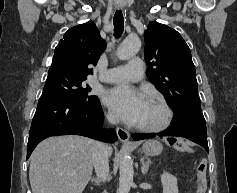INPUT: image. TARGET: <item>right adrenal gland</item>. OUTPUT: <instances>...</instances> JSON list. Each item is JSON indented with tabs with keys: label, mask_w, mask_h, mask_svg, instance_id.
Returning <instances> with one entry per match:
<instances>
[{
	"label": "right adrenal gland",
	"mask_w": 237,
	"mask_h": 193,
	"mask_svg": "<svg viewBox=\"0 0 237 193\" xmlns=\"http://www.w3.org/2000/svg\"><path fill=\"white\" fill-rule=\"evenodd\" d=\"M90 180L92 183H95L96 185H98L101 182L99 178H95V177L91 178Z\"/></svg>",
	"instance_id": "right-adrenal-gland-1"
}]
</instances>
